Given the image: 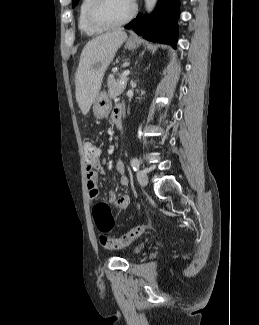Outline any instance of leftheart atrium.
<instances>
[{"label": "left heart atrium", "mask_w": 259, "mask_h": 325, "mask_svg": "<svg viewBox=\"0 0 259 325\" xmlns=\"http://www.w3.org/2000/svg\"><path fill=\"white\" fill-rule=\"evenodd\" d=\"M131 3H133L134 2V0H129Z\"/></svg>", "instance_id": "obj_1"}]
</instances>
